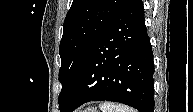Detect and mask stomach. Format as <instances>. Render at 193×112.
Listing matches in <instances>:
<instances>
[{"label":"stomach","instance_id":"stomach-1","mask_svg":"<svg viewBox=\"0 0 193 112\" xmlns=\"http://www.w3.org/2000/svg\"><path fill=\"white\" fill-rule=\"evenodd\" d=\"M84 112H97V110L93 107H90V108L84 110Z\"/></svg>","mask_w":193,"mask_h":112}]
</instances>
